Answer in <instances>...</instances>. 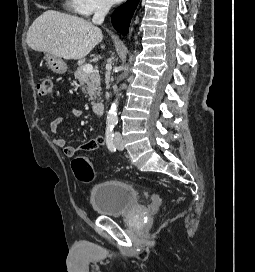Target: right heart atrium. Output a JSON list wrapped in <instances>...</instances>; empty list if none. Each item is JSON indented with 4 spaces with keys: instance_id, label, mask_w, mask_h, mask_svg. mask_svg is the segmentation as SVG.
Here are the masks:
<instances>
[{
    "instance_id": "obj_1",
    "label": "right heart atrium",
    "mask_w": 255,
    "mask_h": 272,
    "mask_svg": "<svg viewBox=\"0 0 255 272\" xmlns=\"http://www.w3.org/2000/svg\"><path fill=\"white\" fill-rule=\"evenodd\" d=\"M109 7V0H67L66 2V8L69 11L85 17L104 12Z\"/></svg>"
}]
</instances>
